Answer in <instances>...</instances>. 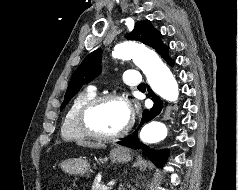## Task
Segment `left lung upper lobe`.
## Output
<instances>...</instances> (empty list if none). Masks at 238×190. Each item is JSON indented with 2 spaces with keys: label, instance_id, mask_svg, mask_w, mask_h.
I'll return each mask as SVG.
<instances>
[{
  "label": "left lung upper lobe",
  "instance_id": "obj_1",
  "mask_svg": "<svg viewBox=\"0 0 238 190\" xmlns=\"http://www.w3.org/2000/svg\"><path fill=\"white\" fill-rule=\"evenodd\" d=\"M126 38L140 41L154 48L163 58L167 55L168 47L161 42L160 32L151 25L149 20L137 22L133 31L127 34ZM101 56L102 51L97 49L90 53L78 66L69 83L64 101L61 105V110L67 105L71 98L79 92L84 84L100 74Z\"/></svg>",
  "mask_w": 238,
  "mask_h": 190
}]
</instances>
